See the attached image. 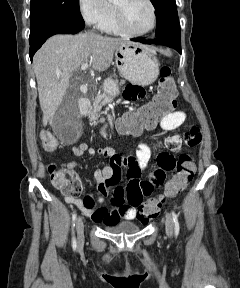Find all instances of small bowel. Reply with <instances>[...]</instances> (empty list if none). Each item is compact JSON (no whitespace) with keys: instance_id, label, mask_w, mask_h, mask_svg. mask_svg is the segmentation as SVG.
<instances>
[{"instance_id":"obj_1","label":"small bowel","mask_w":240,"mask_h":288,"mask_svg":"<svg viewBox=\"0 0 240 288\" xmlns=\"http://www.w3.org/2000/svg\"><path fill=\"white\" fill-rule=\"evenodd\" d=\"M144 96L145 90L138 85H128L123 92V97L126 101H135ZM185 121L186 113L178 110L167 114L161 119L159 121V126L166 132H172L181 127ZM133 133L139 134L140 130H135ZM200 140V129L196 126H192L183 135L177 133L166 135L165 145L171 152H177L181 149L183 144L192 147L197 145ZM72 152L75 156L80 157L85 153L94 155L96 151L89 147L87 143L83 142L73 146ZM98 153L101 156L110 158V162L104 168L97 169L94 172L97 190L102 198L111 196L113 208L109 210L105 206H97L90 197L78 198L67 196L66 200L78 207L94 222L107 225L117 223L122 219H133L136 216V211L135 208L127 202L128 192L135 190L141 198L151 195L154 187L164 183L167 172L172 170L175 165L173 156L170 153L162 152L157 157L158 167L149 173L147 179L141 180V174L151 157V149L147 144L141 143L138 146L135 156L120 155L111 147L100 148ZM77 166V162L69 161L66 164V170L69 173L76 175L75 169ZM122 168L127 169L129 182L126 188L118 186Z\"/></svg>"}]
</instances>
